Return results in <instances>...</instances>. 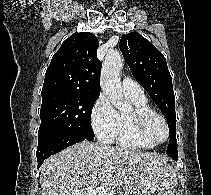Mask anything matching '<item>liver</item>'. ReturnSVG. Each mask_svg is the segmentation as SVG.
Wrapping results in <instances>:
<instances>
[{
	"label": "liver",
	"mask_w": 211,
	"mask_h": 195,
	"mask_svg": "<svg viewBox=\"0 0 211 195\" xmlns=\"http://www.w3.org/2000/svg\"><path fill=\"white\" fill-rule=\"evenodd\" d=\"M171 170L158 154L83 141L45 160L40 184L42 195H88L120 186L151 195Z\"/></svg>",
	"instance_id": "1"
}]
</instances>
